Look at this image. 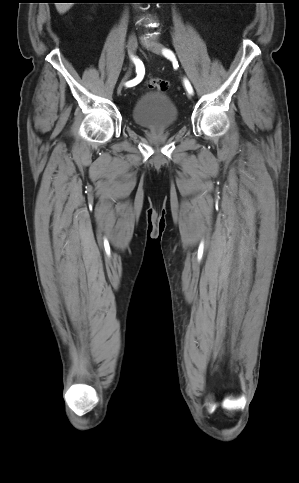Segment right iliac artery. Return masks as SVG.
Segmentation results:
<instances>
[{
	"instance_id": "right-iliac-artery-1",
	"label": "right iliac artery",
	"mask_w": 299,
	"mask_h": 483,
	"mask_svg": "<svg viewBox=\"0 0 299 483\" xmlns=\"http://www.w3.org/2000/svg\"><path fill=\"white\" fill-rule=\"evenodd\" d=\"M133 60L136 65V72L138 73V75L135 79L130 80L126 83V86L128 87H132L140 83L144 76V66L142 62L137 58H133Z\"/></svg>"
}]
</instances>
